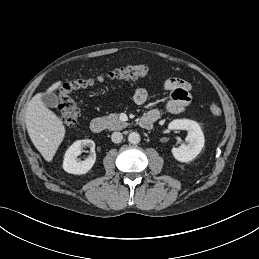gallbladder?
<instances>
[{
  "label": "gallbladder",
  "instance_id": "bac80fb5",
  "mask_svg": "<svg viewBox=\"0 0 259 259\" xmlns=\"http://www.w3.org/2000/svg\"><path fill=\"white\" fill-rule=\"evenodd\" d=\"M42 102L50 108H56L59 104V99L54 93H44L41 97Z\"/></svg>",
  "mask_w": 259,
  "mask_h": 259
}]
</instances>
